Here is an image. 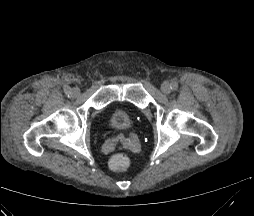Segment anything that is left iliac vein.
<instances>
[{
  "label": "left iliac vein",
  "mask_w": 254,
  "mask_h": 216,
  "mask_svg": "<svg viewBox=\"0 0 254 216\" xmlns=\"http://www.w3.org/2000/svg\"><path fill=\"white\" fill-rule=\"evenodd\" d=\"M161 90L164 94H170L171 93V86L168 82H163L161 85Z\"/></svg>",
  "instance_id": "obj_1"
}]
</instances>
